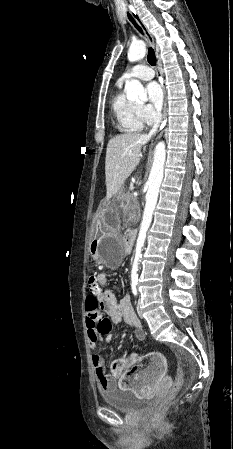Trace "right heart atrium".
Returning <instances> with one entry per match:
<instances>
[{"label":"right heart atrium","instance_id":"d8ad5b80","mask_svg":"<svg viewBox=\"0 0 233 449\" xmlns=\"http://www.w3.org/2000/svg\"><path fill=\"white\" fill-rule=\"evenodd\" d=\"M139 114L146 124H152L159 119V113L150 105H140Z\"/></svg>","mask_w":233,"mask_h":449}]
</instances>
